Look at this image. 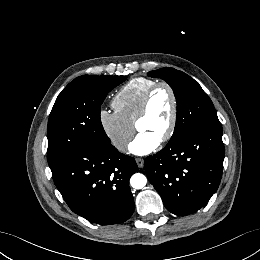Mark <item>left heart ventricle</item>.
<instances>
[{
    "instance_id": "obj_1",
    "label": "left heart ventricle",
    "mask_w": 260,
    "mask_h": 260,
    "mask_svg": "<svg viewBox=\"0 0 260 260\" xmlns=\"http://www.w3.org/2000/svg\"><path fill=\"white\" fill-rule=\"evenodd\" d=\"M171 112L169 92L164 88L159 89L151 99L147 115L138 124V132L150 134L160 141L168 129Z\"/></svg>"
}]
</instances>
